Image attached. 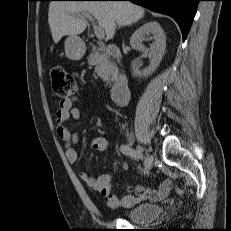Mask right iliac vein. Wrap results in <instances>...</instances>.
Instances as JSON below:
<instances>
[{
  "mask_svg": "<svg viewBox=\"0 0 231 231\" xmlns=\"http://www.w3.org/2000/svg\"><path fill=\"white\" fill-rule=\"evenodd\" d=\"M153 164V158L149 155L146 156L145 158V165H147V167L151 168Z\"/></svg>",
  "mask_w": 231,
  "mask_h": 231,
  "instance_id": "obj_1",
  "label": "right iliac vein"
}]
</instances>
